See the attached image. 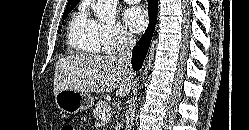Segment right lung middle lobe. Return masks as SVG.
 Listing matches in <instances>:
<instances>
[{
	"label": "right lung middle lobe",
	"mask_w": 249,
	"mask_h": 130,
	"mask_svg": "<svg viewBox=\"0 0 249 130\" xmlns=\"http://www.w3.org/2000/svg\"><path fill=\"white\" fill-rule=\"evenodd\" d=\"M77 5V3L75 4H70L66 6V9L64 10V14H63V19H66V17L68 16V14L73 10V8Z\"/></svg>",
	"instance_id": "right-lung-middle-lobe-1"
}]
</instances>
